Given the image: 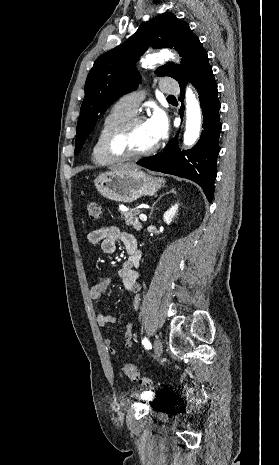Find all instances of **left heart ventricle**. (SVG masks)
Masks as SVG:
<instances>
[{"mask_svg":"<svg viewBox=\"0 0 279 465\" xmlns=\"http://www.w3.org/2000/svg\"><path fill=\"white\" fill-rule=\"evenodd\" d=\"M156 143L147 122H140L132 127L121 141L120 147L129 152H142Z\"/></svg>","mask_w":279,"mask_h":465,"instance_id":"left-heart-ventricle-1","label":"left heart ventricle"}]
</instances>
